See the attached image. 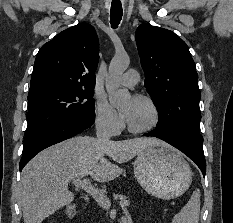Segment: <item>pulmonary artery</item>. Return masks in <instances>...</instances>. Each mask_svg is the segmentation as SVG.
Wrapping results in <instances>:
<instances>
[{
  "label": "pulmonary artery",
  "mask_w": 233,
  "mask_h": 223,
  "mask_svg": "<svg viewBox=\"0 0 233 223\" xmlns=\"http://www.w3.org/2000/svg\"><path fill=\"white\" fill-rule=\"evenodd\" d=\"M139 81V73L137 70H128L120 79V82L125 86H135Z\"/></svg>",
  "instance_id": "pulmonary-artery-1"
}]
</instances>
